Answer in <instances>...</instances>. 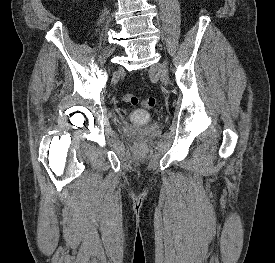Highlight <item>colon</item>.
Wrapping results in <instances>:
<instances>
[{
	"mask_svg": "<svg viewBox=\"0 0 275 263\" xmlns=\"http://www.w3.org/2000/svg\"><path fill=\"white\" fill-rule=\"evenodd\" d=\"M122 100L125 102V103H128L130 105H133V106H137L138 104H140V101L138 99V97L134 94H131V93H125L122 95ZM141 105L145 108H153L154 105H155V99L150 97V98H147L145 99L144 101L141 102Z\"/></svg>",
	"mask_w": 275,
	"mask_h": 263,
	"instance_id": "1",
	"label": "colon"
}]
</instances>
